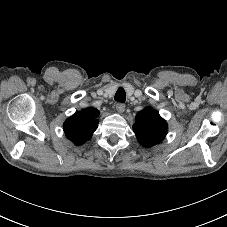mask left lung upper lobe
I'll return each instance as SVG.
<instances>
[{"instance_id": "1", "label": "left lung upper lobe", "mask_w": 227, "mask_h": 227, "mask_svg": "<svg viewBox=\"0 0 227 227\" xmlns=\"http://www.w3.org/2000/svg\"><path fill=\"white\" fill-rule=\"evenodd\" d=\"M133 130L141 145L151 147L160 143L167 134L166 121L152 108H145L136 115Z\"/></svg>"}]
</instances>
